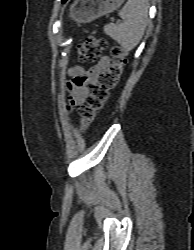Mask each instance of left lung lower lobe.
I'll return each instance as SVG.
<instances>
[{"instance_id": "0a47b994", "label": "left lung lower lobe", "mask_w": 194, "mask_h": 250, "mask_svg": "<svg viewBox=\"0 0 194 250\" xmlns=\"http://www.w3.org/2000/svg\"><path fill=\"white\" fill-rule=\"evenodd\" d=\"M67 0H63L62 3H65Z\"/></svg>"}]
</instances>
